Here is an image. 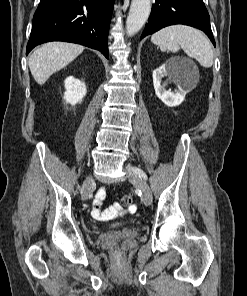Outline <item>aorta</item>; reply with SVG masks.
I'll return each mask as SVG.
<instances>
[{
	"mask_svg": "<svg viewBox=\"0 0 247 296\" xmlns=\"http://www.w3.org/2000/svg\"><path fill=\"white\" fill-rule=\"evenodd\" d=\"M151 11V0H132L126 20V33L133 36L143 27Z\"/></svg>",
	"mask_w": 247,
	"mask_h": 296,
	"instance_id": "obj_1",
	"label": "aorta"
}]
</instances>
